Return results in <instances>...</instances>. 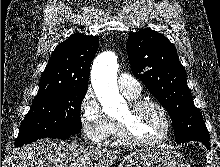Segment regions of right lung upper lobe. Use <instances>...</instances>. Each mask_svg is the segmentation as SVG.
Returning a JSON list of instances; mask_svg holds the SVG:
<instances>
[{"label":"right lung upper lobe","instance_id":"right-lung-upper-lobe-1","mask_svg":"<svg viewBox=\"0 0 220 167\" xmlns=\"http://www.w3.org/2000/svg\"><path fill=\"white\" fill-rule=\"evenodd\" d=\"M98 45V36L81 33L60 43L41 76L34 100L68 88H88L89 70Z\"/></svg>","mask_w":220,"mask_h":167}]
</instances>
